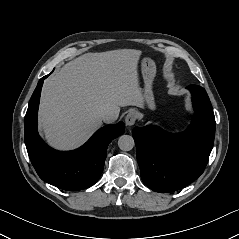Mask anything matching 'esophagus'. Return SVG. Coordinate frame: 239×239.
Instances as JSON below:
<instances>
[{"label":"esophagus","instance_id":"esophagus-1","mask_svg":"<svg viewBox=\"0 0 239 239\" xmlns=\"http://www.w3.org/2000/svg\"><path fill=\"white\" fill-rule=\"evenodd\" d=\"M137 120V113L136 111H130L126 116H125V123L127 126H132L135 124Z\"/></svg>","mask_w":239,"mask_h":239}]
</instances>
